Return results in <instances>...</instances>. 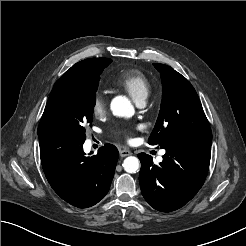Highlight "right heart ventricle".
<instances>
[{
	"instance_id": "e07e8e85",
	"label": "right heart ventricle",
	"mask_w": 246,
	"mask_h": 246,
	"mask_svg": "<svg viewBox=\"0 0 246 246\" xmlns=\"http://www.w3.org/2000/svg\"><path fill=\"white\" fill-rule=\"evenodd\" d=\"M116 84L126 90L135 101L146 99L151 90L148 78L135 70L119 74Z\"/></svg>"
}]
</instances>
